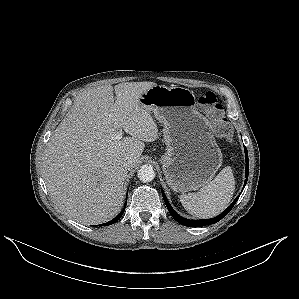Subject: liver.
Wrapping results in <instances>:
<instances>
[{
  "instance_id": "liver-1",
  "label": "liver",
  "mask_w": 299,
  "mask_h": 299,
  "mask_svg": "<svg viewBox=\"0 0 299 299\" xmlns=\"http://www.w3.org/2000/svg\"><path fill=\"white\" fill-rule=\"evenodd\" d=\"M155 85L126 82L114 89L104 85L75 97L42 158L48 192L65 215L94 225L111 220L121 211L127 170L138 163L145 142L158 136L150 111L139 100ZM118 130L130 136L116 140ZM125 157L132 159L127 169L122 165Z\"/></svg>"
}]
</instances>
